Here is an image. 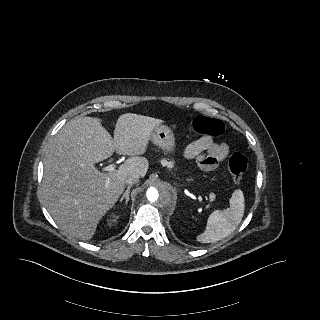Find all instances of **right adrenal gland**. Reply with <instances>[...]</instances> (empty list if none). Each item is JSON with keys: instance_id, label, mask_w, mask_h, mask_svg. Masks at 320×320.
Returning a JSON list of instances; mask_svg holds the SVG:
<instances>
[{"instance_id": "right-adrenal-gland-1", "label": "right adrenal gland", "mask_w": 320, "mask_h": 320, "mask_svg": "<svg viewBox=\"0 0 320 320\" xmlns=\"http://www.w3.org/2000/svg\"><path fill=\"white\" fill-rule=\"evenodd\" d=\"M132 187V185H129L125 191V193L122 195V197L120 198V203L125 199V204L128 203L129 201V194H130V188Z\"/></svg>"}]
</instances>
